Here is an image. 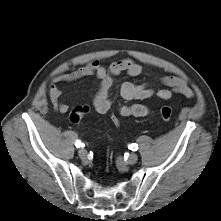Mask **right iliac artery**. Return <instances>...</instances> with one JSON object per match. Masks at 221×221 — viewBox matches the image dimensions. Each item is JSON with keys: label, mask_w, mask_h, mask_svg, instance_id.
I'll list each match as a JSON object with an SVG mask.
<instances>
[{"label": "right iliac artery", "mask_w": 221, "mask_h": 221, "mask_svg": "<svg viewBox=\"0 0 221 221\" xmlns=\"http://www.w3.org/2000/svg\"><path fill=\"white\" fill-rule=\"evenodd\" d=\"M75 146H76L77 148H80V147H83L84 144H83L80 140H77L76 143H75Z\"/></svg>", "instance_id": "right-iliac-artery-1"}]
</instances>
